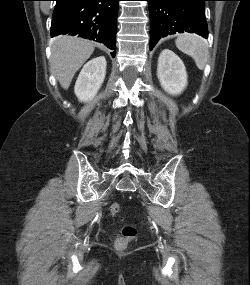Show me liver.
Instances as JSON below:
<instances>
[{"label": "liver", "mask_w": 250, "mask_h": 285, "mask_svg": "<svg viewBox=\"0 0 250 285\" xmlns=\"http://www.w3.org/2000/svg\"><path fill=\"white\" fill-rule=\"evenodd\" d=\"M94 43L75 36H58L51 46V67L57 80L68 89L78 69L94 51Z\"/></svg>", "instance_id": "liver-1"}]
</instances>
